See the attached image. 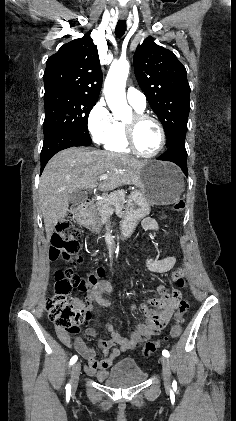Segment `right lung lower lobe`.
<instances>
[{
  "instance_id": "1",
  "label": "right lung lower lobe",
  "mask_w": 236,
  "mask_h": 421,
  "mask_svg": "<svg viewBox=\"0 0 236 421\" xmlns=\"http://www.w3.org/2000/svg\"><path fill=\"white\" fill-rule=\"evenodd\" d=\"M92 141L82 139L69 133H57L44 140L41 151V173L49 159L57 152L74 146H89Z\"/></svg>"
}]
</instances>
